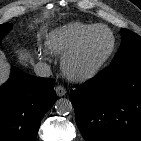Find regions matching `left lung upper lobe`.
<instances>
[{
	"label": "left lung upper lobe",
	"instance_id": "1",
	"mask_svg": "<svg viewBox=\"0 0 141 141\" xmlns=\"http://www.w3.org/2000/svg\"><path fill=\"white\" fill-rule=\"evenodd\" d=\"M122 42L110 65L141 58V37L127 29L120 30Z\"/></svg>",
	"mask_w": 141,
	"mask_h": 141
}]
</instances>
